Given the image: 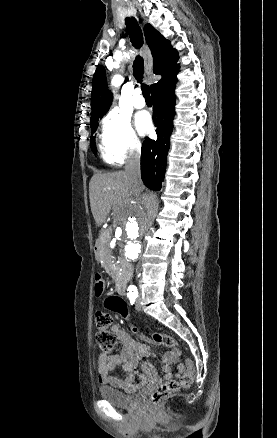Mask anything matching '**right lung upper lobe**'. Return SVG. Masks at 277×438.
<instances>
[{
    "mask_svg": "<svg viewBox=\"0 0 277 438\" xmlns=\"http://www.w3.org/2000/svg\"><path fill=\"white\" fill-rule=\"evenodd\" d=\"M144 35L153 55V72L161 74L162 79L151 85H156L177 73L176 64L178 53L171 47L170 41L165 39L152 25L146 24ZM112 93L107 88L106 73L102 65L97 66L92 82L91 93V122L102 118L110 108Z\"/></svg>",
    "mask_w": 277,
    "mask_h": 438,
    "instance_id": "cb5924a9",
    "label": "right lung upper lobe"
}]
</instances>
